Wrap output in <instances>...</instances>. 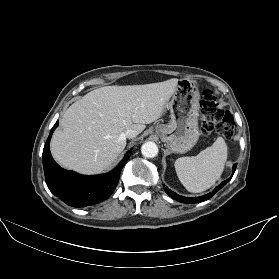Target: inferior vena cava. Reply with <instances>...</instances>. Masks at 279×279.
Returning <instances> with one entry per match:
<instances>
[{
  "label": "inferior vena cava",
  "mask_w": 279,
  "mask_h": 279,
  "mask_svg": "<svg viewBox=\"0 0 279 279\" xmlns=\"http://www.w3.org/2000/svg\"><path fill=\"white\" fill-rule=\"evenodd\" d=\"M125 135L127 138H134L136 137L137 133L134 130H127Z\"/></svg>",
  "instance_id": "inferior-vena-cava-1"
}]
</instances>
